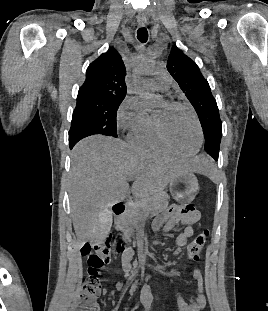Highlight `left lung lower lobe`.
<instances>
[{
  "mask_svg": "<svg viewBox=\"0 0 268 311\" xmlns=\"http://www.w3.org/2000/svg\"><path fill=\"white\" fill-rule=\"evenodd\" d=\"M213 156H214V159L217 161L219 155H213Z\"/></svg>",
  "mask_w": 268,
  "mask_h": 311,
  "instance_id": "0a47b994",
  "label": "left lung lower lobe"
}]
</instances>
